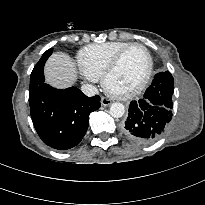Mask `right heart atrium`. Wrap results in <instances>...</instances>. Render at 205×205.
I'll return each mask as SVG.
<instances>
[{"label":"right heart atrium","mask_w":205,"mask_h":205,"mask_svg":"<svg viewBox=\"0 0 205 205\" xmlns=\"http://www.w3.org/2000/svg\"><path fill=\"white\" fill-rule=\"evenodd\" d=\"M86 77H87L89 80H94L93 78H91V77H89V76H87V75H86Z\"/></svg>","instance_id":"obj_1"}]
</instances>
